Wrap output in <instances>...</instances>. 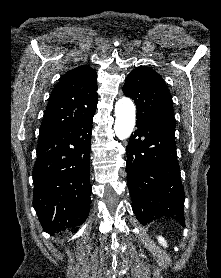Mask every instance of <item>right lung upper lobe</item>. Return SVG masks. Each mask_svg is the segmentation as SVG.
Wrapping results in <instances>:
<instances>
[{
  "instance_id": "obj_1",
  "label": "right lung upper lobe",
  "mask_w": 221,
  "mask_h": 278,
  "mask_svg": "<svg viewBox=\"0 0 221 278\" xmlns=\"http://www.w3.org/2000/svg\"><path fill=\"white\" fill-rule=\"evenodd\" d=\"M96 78L95 70L88 65L69 70L60 78L52 90L38 144L95 113L98 102Z\"/></svg>"
}]
</instances>
